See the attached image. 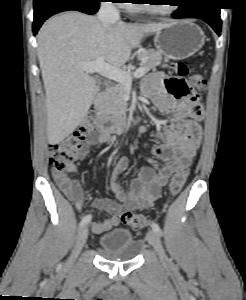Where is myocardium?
I'll use <instances>...</instances> for the list:
<instances>
[{
    "mask_svg": "<svg viewBox=\"0 0 246 300\" xmlns=\"http://www.w3.org/2000/svg\"><path fill=\"white\" fill-rule=\"evenodd\" d=\"M139 8L146 13H149L151 15H156V16H171L178 9L176 4L171 5L170 9H168L167 11H157V10L152 9L149 5H146V4L139 5Z\"/></svg>",
    "mask_w": 246,
    "mask_h": 300,
    "instance_id": "1",
    "label": "myocardium"
}]
</instances>
